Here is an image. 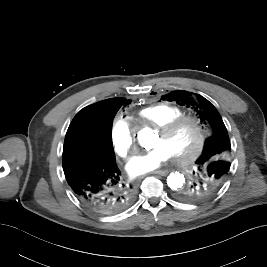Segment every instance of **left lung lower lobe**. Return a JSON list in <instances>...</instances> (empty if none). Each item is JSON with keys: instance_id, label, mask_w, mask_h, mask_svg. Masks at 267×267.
I'll return each mask as SVG.
<instances>
[{"instance_id": "1", "label": "left lung lower lobe", "mask_w": 267, "mask_h": 267, "mask_svg": "<svg viewBox=\"0 0 267 267\" xmlns=\"http://www.w3.org/2000/svg\"><path fill=\"white\" fill-rule=\"evenodd\" d=\"M228 180L227 166L220 163L198 168L190 176V181L176 192V199L183 204L209 201L221 193Z\"/></svg>"}]
</instances>
